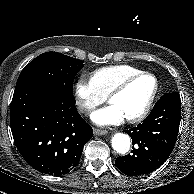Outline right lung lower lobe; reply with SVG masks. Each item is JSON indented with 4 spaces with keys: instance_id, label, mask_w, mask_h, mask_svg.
<instances>
[{
    "instance_id": "obj_1",
    "label": "right lung lower lobe",
    "mask_w": 194,
    "mask_h": 194,
    "mask_svg": "<svg viewBox=\"0 0 194 194\" xmlns=\"http://www.w3.org/2000/svg\"><path fill=\"white\" fill-rule=\"evenodd\" d=\"M10 126L25 161L39 172L56 176L77 166L93 136L91 126L77 112L73 94L39 85L15 89Z\"/></svg>"
}]
</instances>
